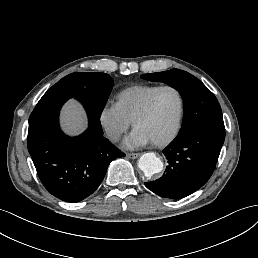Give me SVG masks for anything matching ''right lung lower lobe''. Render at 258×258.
<instances>
[{
  "label": "right lung lower lobe",
  "instance_id": "1",
  "mask_svg": "<svg viewBox=\"0 0 258 258\" xmlns=\"http://www.w3.org/2000/svg\"><path fill=\"white\" fill-rule=\"evenodd\" d=\"M92 89L79 82H58L29 117L27 146L38 176L50 194L66 202L91 195L110 162L125 156L103 137L100 117L90 109ZM70 98L80 101L88 115V129L78 137L64 135L58 123L59 111Z\"/></svg>",
  "mask_w": 258,
  "mask_h": 258
}]
</instances>
